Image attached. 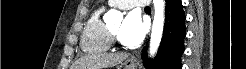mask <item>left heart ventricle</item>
I'll use <instances>...</instances> for the list:
<instances>
[{"label":"left heart ventricle","instance_id":"left-heart-ventricle-1","mask_svg":"<svg viewBox=\"0 0 246 69\" xmlns=\"http://www.w3.org/2000/svg\"><path fill=\"white\" fill-rule=\"evenodd\" d=\"M120 29H121V25H120V24L117 25V26H115V27H113V28H111V30L113 31V33H114L117 37H119Z\"/></svg>","mask_w":246,"mask_h":69}]
</instances>
